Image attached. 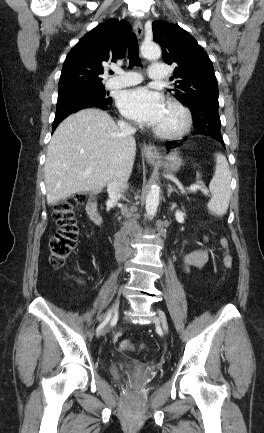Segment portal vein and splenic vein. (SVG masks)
I'll list each match as a JSON object with an SVG mask.
<instances>
[{
	"mask_svg": "<svg viewBox=\"0 0 264 433\" xmlns=\"http://www.w3.org/2000/svg\"><path fill=\"white\" fill-rule=\"evenodd\" d=\"M91 173V169H86L85 171H84V175H88V174H90ZM180 190L182 191V192H185V190H184V188L183 187H180ZM197 190H201L205 195H208L209 193H208V191L207 190H205L200 184H198V185H192V186H190L189 188H187V191L188 192H196Z\"/></svg>",
	"mask_w": 264,
	"mask_h": 433,
	"instance_id": "1",
	"label": "portal vein and splenic vein"
}]
</instances>
